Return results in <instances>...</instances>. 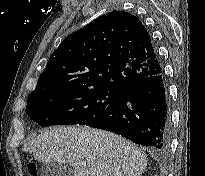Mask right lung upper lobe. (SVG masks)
<instances>
[{
	"instance_id": "1",
	"label": "right lung upper lobe",
	"mask_w": 205,
	"mask_h": 176,
	"mask_svg": "<svg viewBox=\"0 0 205 176\" xmlns=\"http://www.w3.org/2000/svg\"><path fill=\"white\" fill-rule=\"evenodd\" d=\"M161 71L151 37L141 21L130 13L114 11L65 38L29 96L72 88L122 91Z\"/></svg>"
}]
</instances>
